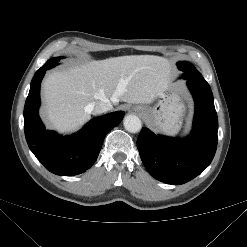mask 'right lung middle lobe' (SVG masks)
Segmentation results:
<instances>
[{"label": "right lung middle lobe", "instance_id": "1", "mask_svg": "<svg viewBox=\"0 0 247 247\" xmlns=\"http://www.w3.org/2000/svg\"><path fill=\"white\" fill-rule=\"evenodd\" d=\"M59 59L60 58H51V59H49L40 69H44V70L51 69L52 67L58 65L57 61Z\"/></svg>", "mask_w": 247, "mask_h": 247}]
</instances>
